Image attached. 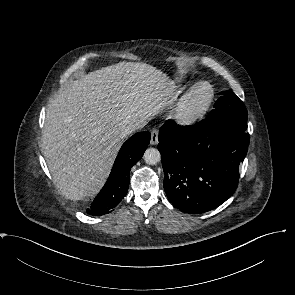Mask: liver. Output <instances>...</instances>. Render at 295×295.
<instances>
[{
	"label": "liver",
	"instance_id": "6515ba94",
	"mask_svg": "<svg viewBox=\"0 0 295 295\" xmlns=\"http://www.w3.org/2000/svg\"><path fill=\"white\" fill-rule=\"evenodd\" d=\"M173 82L143 62H119L65 86L46 110L42 151L54 182L70 200L104 185L129 125H146L169 102Z\"/></svg>",
	"mask_w": 295,
	"mask_h": 295
}]
</instances>
